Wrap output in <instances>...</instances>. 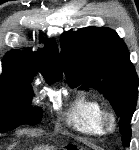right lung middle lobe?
I'll use <instances>...</instances> for the list:
<instances>
[{
    "mask_svg": "<svg viewBox=\"0 0 139 150\" xmlns=\"http://www.w3.org/2000/svg\"><path fill=\"white\" fill-rule=\"evenodd\" d=\"M32 78L3 73L0 76V130H13L21 124H37L41 110L30 108ZM52 83V82H50Z\"/></svg>",
    "mask_w": 139,
    "mask_h": 150,
    "instance_id": "1",
    "label": "right lung middle lobe"
}]
</instances>
